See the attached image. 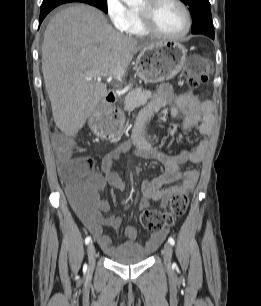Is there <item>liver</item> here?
Wrapping results in <instances>:
<instances>
[{
	"instance_id": "6515ba94",
	"label": "liver",
	"mask_w": 261,
	"mask_h": 306,
	"mask_svg": "<svg viewBox=\"0 0 261 306\" xmlns=\"http://www.w3.org/2000/svg\"><path fill=\"white\" fill-rule=\"evenodd\" d=\"M152 43L117 32L95 7L79 4L57 13L42 43V72L56 126L75 135L107 94L93 73L125 71Z\"/></svg>"
}]
</instances>
